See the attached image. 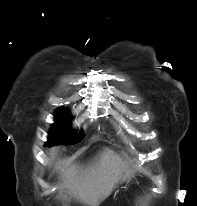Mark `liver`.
I'll return each mask as SVG.
<instances>
[{
    "instance_id": "liver-1",
    "label": "liver",
    "mask_w": 197,
    "mask_h": 206,
    "mask_svg": "<svg viewBox=\"0 0 197 206\" xmlns=\"http://www.w3.org/2000/svg\"><path fill=\"white\" fill-rule=\"evenodd\" d=\"M50 155H55V148ZM125 170L121 157L105 148L93 163L71 165L62 171L61 177L70 195L85 205L97 206L110 195Z\"/></svg>"
}]
</instances>
